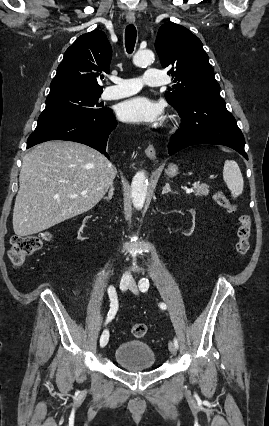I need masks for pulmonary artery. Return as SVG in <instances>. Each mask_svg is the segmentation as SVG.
<instances>
[{"label": "pulmonary artery", "instance_id": "obj_1", "mask_svg": "<svg viewBox=\"0 0 269 426\" xmlns=\"http://www.w3.org/2000/svg\"><path fill=\"white\" fill-rule=\"evenodd\" d=\"M113 86L106 88L103 92V98L106 100H116L137 93L142 84L150 86H159L165 83V74L157 68H147L140 78H115Z\"/></svg>", "mask_w": 269, "mask_h": 426}]
</instances>
